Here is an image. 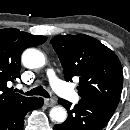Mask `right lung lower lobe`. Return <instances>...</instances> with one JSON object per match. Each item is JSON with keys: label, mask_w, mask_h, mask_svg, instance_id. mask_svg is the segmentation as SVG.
I'll return each mask as SVG.
<instances>
[{"label": "right lung lower lobe", "mask_w": 130, "mask_h": 130, "mask_svg": "<svg viewBox=\"0 0 130 130\" xmlns=\"http://www.w3.org/2000/svg\"><path fill=\"white\" fill-rule=\"evenodd\" d=\"M43 102L42 98L34 97L29 102L0 109V130H23L26 113L42 107Z\"/></svg>", "instance_id": "1"}]
</instances>
